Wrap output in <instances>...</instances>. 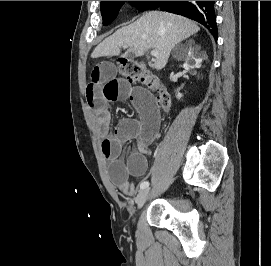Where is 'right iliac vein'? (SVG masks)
<instances>
[{
    "label": "right iliac vein",
    "instance_id": "right-iliac-vein-1",
    "mask_svg": "<svg viewBox=\"0 0 271 266\" xmlns=\"http://www.w3.org/2000/svg\"><path fill=\"white\" fill-rule=\"evenodd\" d=\"M148 195H149V189H143L138 193L137 197L135 198V203L138 208H141L144 205V203L147 200Z\"/></svg>",
    "mask_w": 271,
    "mask_h": 266
}]
</instances>
